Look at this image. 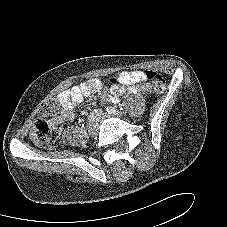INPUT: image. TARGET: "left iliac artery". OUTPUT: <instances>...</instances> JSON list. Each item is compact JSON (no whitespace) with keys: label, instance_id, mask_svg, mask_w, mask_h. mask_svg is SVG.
Listing matches in <instances>:
<instances>
[{"label":"left iliac artery","instance_id":"left-iliac-artery-1","mask_svg":"<svg viewBox=\"0 0 227 227\" xmlns=\"http://www.w3.org/2000/svg\"><path fill=\"white\" fill-rule=\"evenodd\" d=\"M106 111H107L108 114H114V115H119L120 114V112L117 109L113 108V107H107ZM121 111L124 112L123 108H121Z\"/></svg>","mask_w":227,"mask_h":227}]
</instances>
